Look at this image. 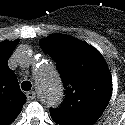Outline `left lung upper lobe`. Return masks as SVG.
<instances>
[{
    "instance_id": "1",
    "label": "left lung upper lobe",
    "mask_w": 125,
    "mask_h": 125,
    "mask_svg": "<svg viewBox=\"0 0 125 125\" xmlns=\"http://www.w3.org/2000/svg\"><path fill=\"white\" fill-rule=\"evenodd\" d=\"M39 44L56 62L65 88L61 106L50 109L52 119L59 125H93L112 94L104 58L95 48L71 36L53 34Z\"/></svg>"
}]
</instances>
